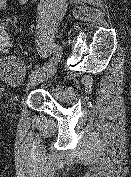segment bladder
Returning <instances> with one entry per match:
<instances>
[{
    "label": "bladder",
    "mask_w": 131,
    "mask_h": 177,
    "mask_svg": "<svg viewBox=\"0 0 131 177\" xmlns=\"http://www.w3.org/2000/svg\"><path fill=\"white\" fill-rule=\"evenodd\" d=\"M0 73L8 83L16 84L22 78L21 63L13 58L4 60L0 63Z\"/></svg>",
    "instance_id": "bladder-1"
}]
</instances>
